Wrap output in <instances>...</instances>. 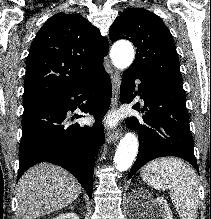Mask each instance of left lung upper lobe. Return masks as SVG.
I'll use <instances>...</instances> for the list:
<instances>
[{"mask_svg":"<svg viewBox=\"0 0 211 219\" xmlns=\"http://www.w3.org/2000/svg\"><path fill=\"white\" fill-rule=\"evenodd\" d=\"M110 39L130 40L137 48L128 71L143 77L182 81L179 59L172 35L154 13L141 9H125L110 27Z\"/></svg>","mask_w":211,"mask_h":219,"instance_id":"left-lung-upper-lobe-1","label":"left lung upper lobe"}]
</instances>
